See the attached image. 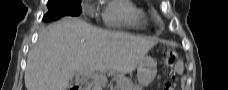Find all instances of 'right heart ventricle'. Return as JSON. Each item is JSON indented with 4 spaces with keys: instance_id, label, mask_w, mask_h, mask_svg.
I'll return each instance as SVG.
<instances>
[{
    "instance_id": "right-heart-ventricle-1",
    "label": "right heart ventricle",
    "mask_w": 228,
    "mask_h": 90,
    "mask_svg": "<svg viewBox=\"0 0 228 90\" xmlns=\"http://www.w3.org/2000/svg\"><path fill=\"white\" fill-rule=\"evenodd\" d=\"M109 26L139 27L143 23L144 11L132 1H112L103 13Z\"/></svg>"
}]
</instances>
